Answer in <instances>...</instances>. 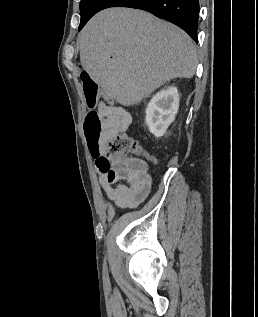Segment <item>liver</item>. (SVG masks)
<instances>
[{
    "instance_id": "obj_1",
    "label": "liver",
    "mask_w": 258,
    "mask_h": 317,
    "mask_svg": "<svg viewBox=\"0 0 258 317\" xmlns=\"http://www.w3.org/2000/svg\"><path fill=\"white\" fill-rule=\"evenodd\" d=\"M84 70L104 98L130 106L177 76L191 78L196 46L179 26L135 8L97 12L79 34Z\"/></svg>"
}]
</instances>
